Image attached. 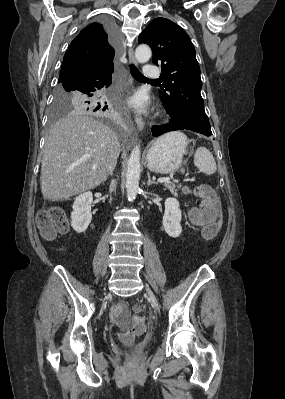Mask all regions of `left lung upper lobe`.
<instances>
[{"label":"left lung upper lobe","mask_w":285,"mask_h":399,"mask_svg":"<svg viewBox=\"0 0 285 399\" xmlns=\"http://www.w3.org/2000/svg\"><path fill=\"white\" fill-rule=\"evenodd\" d=\"M138 42L151 47L153 63L161 66L159 94L172 121L211 136L200 93V67L188 34L174 22L158 17L142 31Z\"/></svg>","instance_id":"obj_1"}]
</instances>
